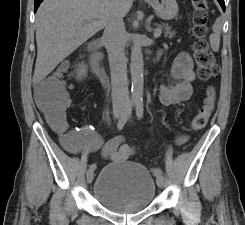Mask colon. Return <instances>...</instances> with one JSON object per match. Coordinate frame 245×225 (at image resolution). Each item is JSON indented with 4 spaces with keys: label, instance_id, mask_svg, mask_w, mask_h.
I'll return each instance as SVG.
<instances>
[{
    "label": "colon",
    "instance_id": "obj_1",
    "mask_svg": "<svg viewBox=\"0 0 245 225\" xmlns=\"http://www.w3.org/2000/svg\"><path fill=\"white\" fill-rule=\"evenodd\" d=\"M193 5V35L196 41L193 46L194 59L197 71L202 79H212L218 76L219 67L208 43L204 39L207 31V2L206 0H192ZM37 102L51 116H60L69 106L65 80L56 75L54 78L45 79L38 87ZM215 102V90L212 86L206 89L204 104L198 114L191 121V129L194 131L204 128L213 113ZM62 143L70 145V137L62 136Z\"/></svg>",
    "mask_w": 245,
    "mask_h": 225
}]
</instances>
